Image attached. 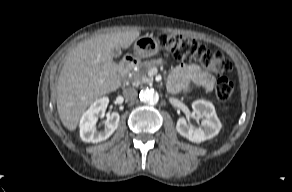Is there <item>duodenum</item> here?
I'll return each instance as SVG.
<instances>
[{"mask_svg": "<svg viewBox=\"0 0 292 192\" xmlns=\"http://www.w3.org/2000/svg\"><path fill=\"white\" fill-rule=\"evenodd\" d=\"M136 63L137 60L133 57L125 58L119 65V74L125 76Z\"/></svg>", "mask_w": 292, "mask_h": 192, "instance_id": "obj_1", "label": "duodenum"}]
</instances>
